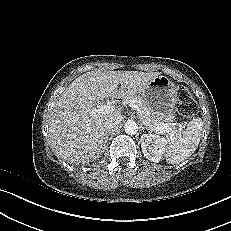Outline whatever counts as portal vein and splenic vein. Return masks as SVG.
<instances>
[{
    "label": "portal vein and splenic vein",
    "instance_id": "portal-vein-and-splenic-vein-1",
    "mask_svg": "<svg viewBox=\"0 0 231 231\" xmlns=\"http://www.w3.org/2000/svg\"><path fill=\"white\" fill-rule=\"evenodd\" d=\"M128 104L132 109L136 110L138 114L140 113V109H139L138 105L135 103V101H130V102H128ZM113 110H114V106H112V105L99 104V105H97V107L94 110H92V115L95 116V115L100 114V113L105 114V113H109ZM156 130L160 133H162V132L171 133L172 132V128L170 127L169 124L158 125L156 127Z\"/></svg>",
    "mask_w": 231,
    "mask_h": 231
}]
</instances>
